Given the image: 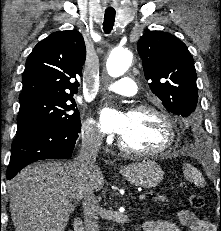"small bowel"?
Returning a JSON list of instances; mask_svg holds the SVG:
<instances>
[{
	"label": "small bowel",
	"instance_id": "c3829d8e",
	"mask_svg": "<svg viewBox=\"0 0 221 231\" xmlns=\"http://www.w3.org/2000/svg\"><path fill=\"white\" fill-rule=\"evenodd\" d=\"M180 224L190 231H215L214 225L197 217L193 212L182 209L177 214ZM142 231H182L175 223L163 220H148L140 225Z\"/></svg>",
	"mask_w": 221,
	"mask_h": 231
}]
</instances>
